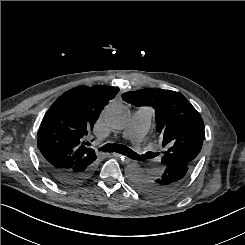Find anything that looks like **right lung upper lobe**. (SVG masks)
<instances>
[{"label": "right lung upper lobe", "instance_id": "1", "mask_svg": "<svg viewBox=\"0 0 245 245\" xmlns=\"http://www.w3.org/2000/svg\"><path fill=\"white\" fill-rule=\"evenodd\" d=\"M119 88L78 86L62 94L45 114L38 131L42 161L62 170H82L94 163L95 151L85 139L101 111Z\"/></svg>", "mask_w": 245, "mask_h": 245}]
</instances>
